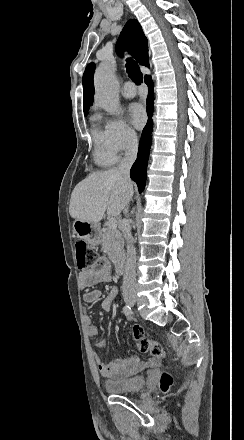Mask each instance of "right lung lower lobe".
<instances>
[{"label":"right lung lower lobe","mask_w":244,"mask_h":440,"mask_svg":"<svg viewBox=\"0 0 244 440\" xmlns=\"http://www.w3.org/2000/svg\"><path fill=\"white\" fill-rule=\"evenodd\" d=\"M145 83L149 88L148 97H147V114H148V122L143 129L141 140L139 144L138 156L136 162L133 164L130 176L133 181L137 183L139 192L141 193L144 190L146 183V170L149 152L151 148L152 142V122L151 117L154 110V91H153V81L150 76H145Z\"/></svg>","instance_id":"right-lung-lower-lobe-1"}]
</instances>
